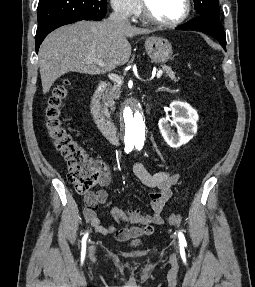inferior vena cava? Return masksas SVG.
Here are the masks:
<instances>
[{
    "label": "inferior vena cava",
    "mask_w": 255,
    "mask_h": 287,
    "mask_svg": "<svg viewBox=\"0 0 255 287\" xmlns=\"http://www.w3.org/2000/svg\"><path fill=\"white\" fill-rule=\"evenodd\" d=\"M114 12L110 14L107 22L108 24H129L126 12L120 8V4H114Z\"/></svg>",
    "instance_id": "1"
}]
</instances>
